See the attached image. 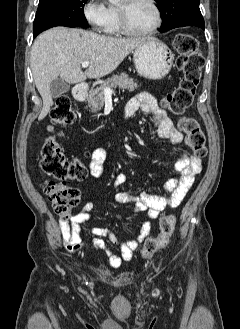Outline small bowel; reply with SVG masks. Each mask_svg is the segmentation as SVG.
<instances>
[{"mask_svg":"<svg viewBox=\"0 0 240 329\" xmlns=\"http://www.w3.org/2000/svg\"><path fill=\"white\" fill-rule=\"evenodd\" d=\"M139 110L153 118L158 138L167 140L172 145L181 143L183 134L175 128L164 109L150 93L143 91L132 98L124 108L123 117L129 118ZM106 159L107 152L105 149L99 148L92 152L89 163V171L92 177L100 178L103 176ZM175 169L180 173V176L166 183L164 186L165 194L163 195L128 191H121L115 195L118 203L132 204L136 212L146 213L147 215L146 221L139 229L135 230L132 238L126 241H119L116 235L108 228L94 227L91 229V234L94 236L92 240L94 249H101L106 252L112 268H120L123 263L132 259L134 251L149 234L152 221L157 219L162 211L180 205L192 186L195 176L201 172L202 161L195 155H189L183 151L181 158L175 163ZM127 181H129L128 175L118 174L113 182V186H120ZM93 209L94 204L88 202L69 221H60L61 236L68 251L78 252L83 248L81 226L91 220ZM109 244L117 246L119 253L114 252Z\"/></svg>","mask_w":240,"mask_h":329,"instance_id":"1","label":"small bowel"}]
</instances>
